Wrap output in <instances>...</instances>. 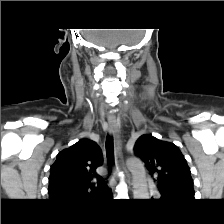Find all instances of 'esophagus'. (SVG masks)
<instances>
[{"label": "esophagus", "instance_id": "obj_1", "mask_svg": "<svg viewBox=\"0 0 224 224\" xmlns=\"http://www.w3.org/2000/svg\"><path fill=\"white\" fill-rule=\"evenodd\" d=\"M108 131L109 134L113 136L114 138V151H115V169L114 172L116 173L119 169H122L125 171L127 180L130 183L131 177L128 173L124 162H123V155H122V144L119 137V131L117 128L116 120L115 118H108Z\"/></svg>", "mask_w": 224, "mask_h": 224}]
</instances>
